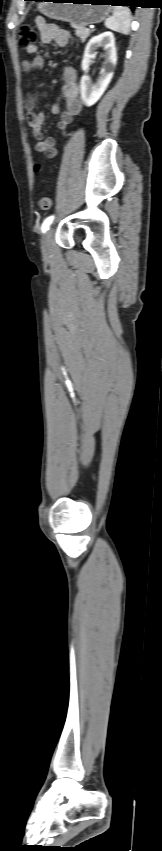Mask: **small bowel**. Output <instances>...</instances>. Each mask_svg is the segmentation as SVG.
<instances>
[{
    "label": "small bowel",
    "mask_w": 162,
    "mask_h": 851,
    "mask_svg": "<svg viewBox=\"0 0 162 851\" xmlns=\"http://www.w3.org/2000/svg\"><path fill=\"white\" fill-rule=\"evenodd\" d=\"M36 25L40 31L41 41L44 44L55 42L63 48L70 45L71 34L66 29L55 23L47 22L43 17L37 18ZM27 52L33 56V59L24 61L23 68L26 71L41 69L45 64V60L41 55H39V47L37 45H33L27 48ZM61 97L64 102L65 109L62 110L59 103H54L51 106V112L54 115L60 116V119L57 122V129L63 137H67L69 126L73 123L75 117L82 111V102L79 98L76 73L71 67H66L64 70V83L61 87ZM24 106L27 111L28 127L36 140L35 150L43 153L47 158H54L58 154L56 141L53 137H45L42 133L45 116L42 112L36 111L35 98L28 94L25 97Z\"/></svg>",
    "instance_id": "c3829d8e"
}]
</instances>
